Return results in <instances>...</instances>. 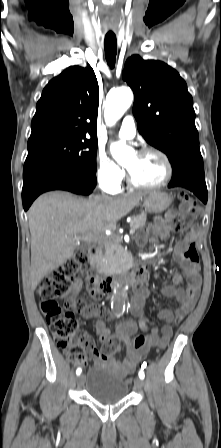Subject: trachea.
Returning <instances> with one entry per match:
<instances>
[{
  "label": "trachea",
  "instance_id": "trachea-1",
  "mask_svg": "<svg viewBox=\"0 0 221 448\" xmlns=\"http://www.w3.org/2000/svg\"><path fill=\"white\" fill-rule=\"evenodd\" d=\"M105 57L111 69L115 66L117 53V40L114 35H106L104 40Z\"/></svg>",
  "mask_w": 221,
  "mask_h": 448
}]
</instances>
